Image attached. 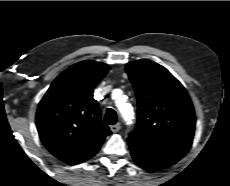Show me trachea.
Listing matches in <instances>:
<instances>
[{"label":"trachea","mask_w":230,"mask_h":186,"mask_svg":"<svg viewBox=\"0 0 230 186\" xmlns=\"http://www.w3.org/2000/svg\"><path fill=\"white\" fill-rule=\"evenodd\" d=\"M104 120H105V122H106L107 124H109V125L115 124L116 121H117L116 112H115L113 109L108 108V109L106 110Z\"/></svg>","instance_id":"3493384b"}]
</instances>
